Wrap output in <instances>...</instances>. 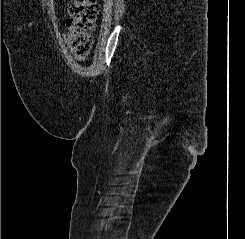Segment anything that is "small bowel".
<instances>
[{
  "instance_id": "obj_1",
  "label": "small bowel",
  "mask_w": 245,
  "mask_h": 239,
  "mask_svg": "<svg viewBox=\"0 0 245 239\" xmlns=\"http://www.w3.org/2000/svg\"><path fill=\"white\" fill-rule=\"evenodd\" d=\"M78 60H83L84 57H76Z\"/></svg>"
}]
</instances>
